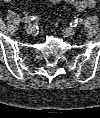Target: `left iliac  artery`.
Wrapping results in <instances>:
<instances>
[{
	"instance_id": "left-iliac-artery-1",
	"label": "left iliac artery",
	"mask_w": 100,
	"mask_h": 118,
	"mask_svg": "<svg viewBox=\"0 0 100 118\" xmlns=\"http://www.w3.org/2000/svg\"><path fill=\"white\" fill-rule=\"evenodd\" d=\"M83 23V20L81 18L75 19L72 23L74 27L81 25Z\"/></svg>"
}]
</instances>
